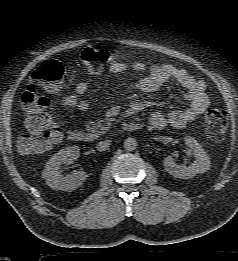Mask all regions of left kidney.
Wrapping results in <instances>:
<instances>
[{
	"label": "left kidney",
	"mask_w": 238,
	"mask_h": 261,
	"mask_svg": "<svg viewBox=\"0 0 238 261\" xmlns=\"http://www.w3.org/2000/svg\"><path fill=\"white\" fill-rule=\"evenodd\" d=\"M184 141L185 144L192 149L193 154L195 155V161L188 167L179 166L175 163L173 157L167 156L163 160L165 171L180 179H189L194 177L196 174L207 172L211 163L205 150L190 136H186Z\"/></svg>",
	"instance_id": "5707ae66"
}]
</instances>
